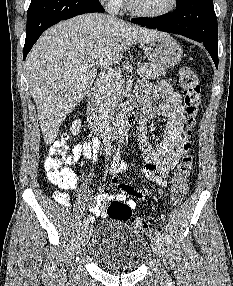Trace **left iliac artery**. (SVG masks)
<instances>
[{"label":"left iliac artery","mask_w":233,"mask_h":286,"mask_svg":"<svg viewBox=\"0 0 233 286\" xmlns=\"http://www.w3.org/2000/svg\"><path fill=\"white\" fill-rule=\"evenodd\" d=\"M154 234L160 241L162 240V235H161V232L159 230H155Z\"/></svg>","instance_id":"44dca946"}]
</instances>
